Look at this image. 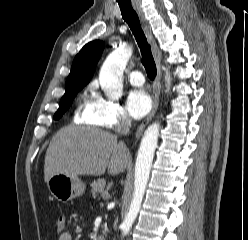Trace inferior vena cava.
<instances>
[{
  "label": "inferior vena cava",
  "instance_id": "obj_1",
  "mask_svg": "<svg viewBox=\"0 0 248 240\" xmlns=\"http://www.w3.org/2000/svg\"><path fill=\"white\" fill-rule=\"evenodd\" d=\"M130 125V119L124 118L121 123L116 127V132L127 135L129 133Z\"/></svg>",
  "mask_w": 248,
  "mask_h": 240
}]
</instances>
